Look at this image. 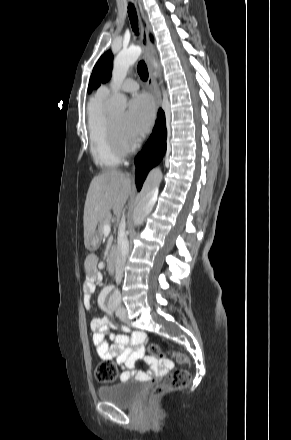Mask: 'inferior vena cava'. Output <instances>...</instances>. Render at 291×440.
Listing matches in <instances>:
<instances>
[{"label":"inferior vena cava","mask_w":291,"mask_h":440,"mask_svg":"<svg viewBox=\"0 0 291 440\" xmlns=\"http://www.w3.org/2000/svg\"><path fill=\"white\" fill-rule=\"evenodd\" d=\"M128 251L129 243L125 234V218L123 217L119 225L118 246L116 253L115 279L117 284L122 280Z\"/></svg>","instance_id":"1"}]
</instances>
